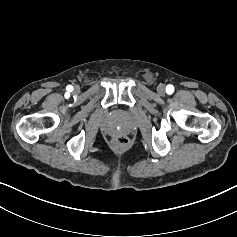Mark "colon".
<instances>
[{"label": "colon", "mask_w": 237, "mask_h": 237, "mask_svg": "<svg viewBox=\"0 0 237 237\" xmlns=\"http://www.w3.org/2000/svg\"><path fill=\"white\" fill-rule=\"evenodd\" d=\"M129 145V140L128 138L121 136L115 139L114 141V146L115 148L119 149V150H123L126 149Z\"/></svg>", "instance_id": "5ec220e1"}]
</instances>
